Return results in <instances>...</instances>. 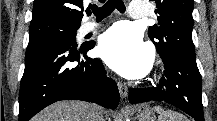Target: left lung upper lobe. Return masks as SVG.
Returning <instances> with one entry per match:
<instances>
[{
    "mask_svg": "<svg viewBox=\"0 0 217 121\" xmlns=\"http://www.w3.org/2000/svg\"><path fill=\"white\" fill-rule=\"evenodd\" d=\"M158 24L149 27L148 36L161 58L171 53L195 57L192 42L193 0H153Z\"/></svg>",
    "mask_w": 217,
    "mask_h": 121,
    "instance_id": "5c2ea615",
    "label": "left lung upper lobe"
}]
</instances>
